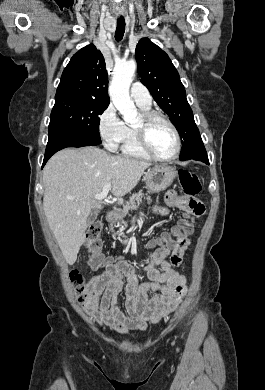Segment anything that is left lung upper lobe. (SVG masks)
Returning a JSON list of instances; mask_svg holds the SVG:
<instances>
[{"label":"left lung upper lobe","instance_id":"left-lung-upper-lobe-1","mask_svg":"<svg viewBox=\"0 0 265 390\" xmlns=\"http://www.w3.org/2000/svg\"><path fill=\"white\" fill-rule=\"evenodd\" d=\"M135 58L140 81L168 114L182 138L180 160H189L204 148V144L175 66L168 55L148 38L138 42Z\"/></svg>","mask_w":265,"mask_h":390}]
</instances>
